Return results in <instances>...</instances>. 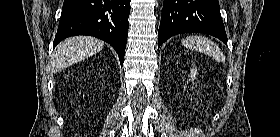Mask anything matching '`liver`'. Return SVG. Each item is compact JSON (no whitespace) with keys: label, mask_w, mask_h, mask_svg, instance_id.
<instances>
[{"label":"liver","mask_w":280,"mask_h":137,"mask_svg":"<svg viewBox=\"0 0 280 137\" xmlns=\"http://www.w3.org/2000/svg\"><path fill=\"white\" fill-rule=\"evenodd\" d=\"M102 41L88 36L71 37L62 41L53 53L52 71L59 72L66 67L88 58L103 48Z\"/></svg>","instance_id":"obj_1"}]
</instances>
